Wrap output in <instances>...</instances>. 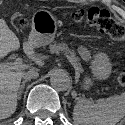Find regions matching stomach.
I'll return each mask as SVG.
<instances>
[{"label":"stomach","instance_id":"stomach-1","mask_svg":"<svg viewBox=\"0 0 125 125\" xmlns=\"http://www.w3.org/2000/svg\"><path fill=\"white\" fill-rule=\"evenodd\" d=\"M57 31V21L55 17L44 10L34 13L31 22V32L29 40L34 47L45 46L53 42ZM91 70L99 80H105L110 76L111 63L108 56L103 52H96L91 61ZM90 80L86 79L84 86L89 87Z\"/></svg>","mask_w":125,"mask_h":125}]
</instances>
